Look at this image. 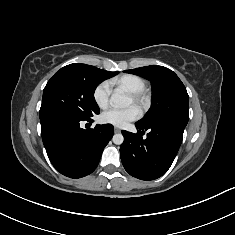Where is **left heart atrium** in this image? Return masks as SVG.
Instances as JSON below:
<instances>
[{"label":"left heart atrium","instance_id":"obj_1","mask_svg":"<svg viewBox=\"0 0 235 235\" xmlns=\"http://www.w3.org/2000/svg\"><path fill=\"white\" fill-rule=\"evenodd\" d=\"M139 116V109L136 106L131 105L126 108H109L102 113L101 119L104 123L117 127H125L130 122L137 120Z\"/></svg>","mask_w":235,"mask_h":235}]
</instances>
